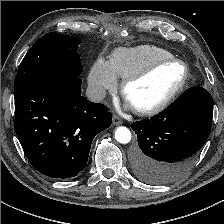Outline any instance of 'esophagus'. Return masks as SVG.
Returning <instances> with one entry per match:
<instances>
[{"instance_id":"34e87169","label":"esophagus","mask_w":224,"mask_h":224,"mask_svg":"<svg viewBox=\"0 0 224 224\" xmlns=\"http://www.w3.org/2000/svg\"><path fill=\"white\" fill-rule=\"evenodd\" d=\"M112 122L114 125H121L123 123L122 119L116 115L113 116Z\"/></svg>"}]
</instances>
